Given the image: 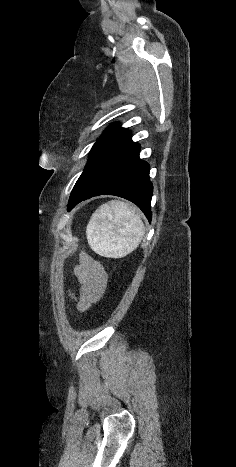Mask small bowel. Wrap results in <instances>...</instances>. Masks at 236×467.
<instances>
[{
    "label": "small bowel",
    "mask_w": 236,
    "mask_h": 467,
    "mask_svg": "<svg viewBox=\"0 0 236 467\" xmlns=\"http://www.w3.org/2000/svg\"><path fill=\"white\" fill-rule=\"evenodd\" d=\"M73 272L80 285L79 293L69 290L68 295L76 303L78 311L86 312L103 296L107 274L100 262L86 254L80 256L79 264L74 267Z\"/></svg>",
    "instance_id": "1"
}]
</instances>
